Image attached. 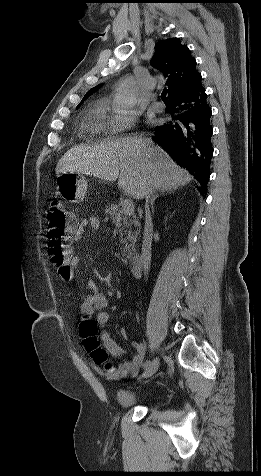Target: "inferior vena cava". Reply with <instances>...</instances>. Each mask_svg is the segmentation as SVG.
I'll return each instance as SVG.
<instances>
[{
    "label": "inferior vena cava",
    "mask_w": 261,
    "mask_h": 476,
    "mask_svg": "<svg viewBox=\"0 0 261 476\" xmlns=\"http://www.w3.org/2000/svg\"><path fill=\"white\" fill-rule=\"evenodd\" d=\"M153 193V189L149 183H147L143 188V195L146 198L145 204V227H144V234H143V242H142V254H141V264L144 269V273L148 274L151 262V242H152V219L149 209V198L150 195Z\"/></svg>",
    "instance_id": "obj_1"
}]
</instances>
